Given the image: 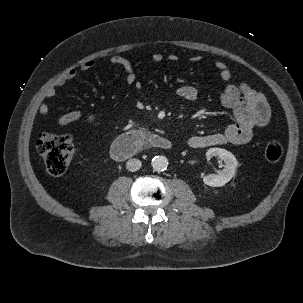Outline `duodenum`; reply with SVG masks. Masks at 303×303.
<instances>
[{
  "mask_svg": "<svg viewBox=\"0 0 303 303\" xmlns=\"http://www.w3.org/2000/svg\"><path fill=\"white\" fill-rule=\"evenodd\" d=\"M147 145L160 150H170L172 148L171 141L166 137L155 133L133 130L118 136L111 146L110 153L115 160H125Z\"/></svg>",
  "mask_w": 303,
  "mask_h": 303,
  "instance_id": "obj_1",
  "label": "duodenum"
}]
</instances>
